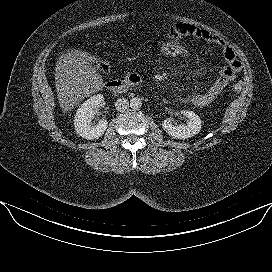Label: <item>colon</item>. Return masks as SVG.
<instances>
[{
    "label": "colon",
    "mask_w": 272,
    "mask_h": 272,
    "mask_svg": "<svg viewBox=\"0 0 272 272\" xmlns=\"http://www.w3.org/2000/svg\"><path fill=\"white\" fill-rule=\"evenodd\" d=\"M157 49L163 57L170 60H180L189 55V48L187 47V45L177 39L170 38L169 40L162 41L158 44ZM70 54L79 60L93 63L99 70L103 72H107L109 70L108 63L98 60L88 52L81 50H72L70 51ZM242 87L243 84L241 82H236L232 86V91L234 93H238L241 91Z\"/></svg>",
    "instance_id": "colon-1"
}]
</instances>
